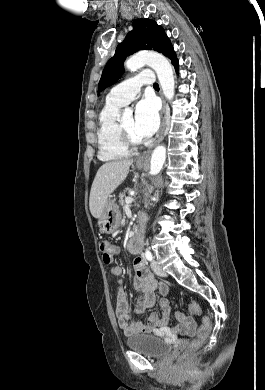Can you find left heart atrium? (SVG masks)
Masks as SVG:
<instances>
[{
  "instance_id": "obj_1",
  "label": "left heart atrium",
  "mask_w": 265,
  "mask_h": 390,
  "mask_svg": "<svg viewBox=\"0 0 265 390\" xmlns=\"http://www.w3.org/2000/svg\"><path fill=\"white\" fill-rule=\"evenodd\" d=\"M159 127V114L155 102L151 99L141 100L135 110L134 130L140 139L151 137Z\"/></svg>"
}]
</instances>
